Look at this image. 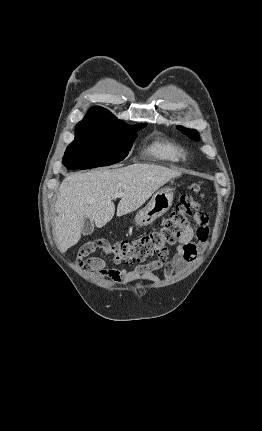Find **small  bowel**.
<instances>
[{
    "label": "small bowel",
    "instance_id": "c3829d8e",
    "mask_svg": "<svg viewBox=\"0 0 262 431\" xmlns=\"http://www.w3.org/2000/svg\"><path fill=\"white\" fill-rule=\"evenodd\" d=\"M193 225L188 226L179 237L176 245V254L170 259L167 255L147 263L136 265L130 270L121 267H111L105 260L92 257L87 261L90 270L99 276L109 278L122 285L144 281L154 278V272L165 267V277L171 278L176 271L182 272L192 265L199 257L209 237V227L195 219Z\"/></svg>",
    "mask_w": 262,
    "mask_h": 431
}]
</instances>
